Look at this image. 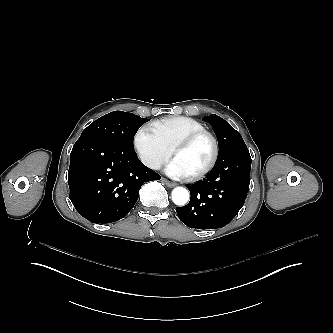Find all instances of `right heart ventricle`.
Here are the masks:
<instances>
[{"label":"right heart ventricle","mask_w":333,"mask_h":333,"mask_svg":"<svg viewBox=\"0 0 333 333\" xmlns=\"http://www.w3.org/2000/svg\"><path fill=\"white\" fill-rule=\"evenodd\" d=\"M149 127L170 149L185 136L205 130L199 121L181 115L165 117L151 123Z\"/></svg>","instance_id":"right-heart-ventricle-1"}]
</instances>
